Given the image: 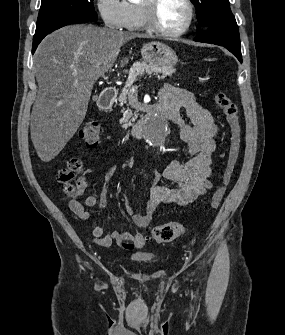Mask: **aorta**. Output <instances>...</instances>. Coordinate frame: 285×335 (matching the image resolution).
<instances>
[{
    "mask_svg": "<svg viewBox=\"0 0 285 335\" xmlns=\"http://www.w3.org/2000/svg\"><path fill=\"white\" fill-rule=\"evenodd\" d=\"M133 2V0H129ZM152 119H147L145 127H139V134H146V137H151L148 140V147H165L164 137H169L172 134L170 127V119H159V112H152Z\"/></svg>",
    "mask_w": 285,
    "mask_h": 335,
    "instance_id": "1",
    "label": "aorta"
}]
</instances>
